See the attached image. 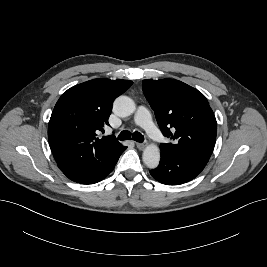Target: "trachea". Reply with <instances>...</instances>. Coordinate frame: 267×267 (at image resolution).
<instances>
[{"instance_id":"obj_1","label":"trachea","mask_w":267,"mask_h":267,"mask_svg":"<svg viewBox=\"0 0 267 267\" xmlns=\"http://www.w3.org/2000/svg\"><path fill=\"white\" fill-rule=\"evenodd\" d=\"M131 137L133 138L134 141H137L139 143H142L144 141V136L141 133H139V132L131 133L130 131H127V130L122 131L119 134L118 139L119 140H129V139H131Z\"/></svg>"}]
</instances>
